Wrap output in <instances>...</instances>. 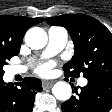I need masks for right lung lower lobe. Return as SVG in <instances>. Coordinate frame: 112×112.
Instances as JSON below:
<instances>
[{"label": "right lung lower lobe", "instance_id": "1", "mask_svg": "<svg viewBox=\"0 0 112 112\" xmlns=\"http://www.w3.org/2000/svg\"><path fill=\"white\" fill-rule=\"evenodd\" d=\"M19 86L0 80V112H32L36 92L42 90L41 81L26 77Z\"/></svg>", "mask_w": 112, "mask_h": 112}]
</instances>
